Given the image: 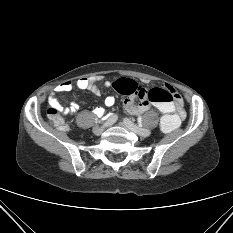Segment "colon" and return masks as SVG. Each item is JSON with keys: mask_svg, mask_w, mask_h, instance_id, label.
<instances>
[{"mask_svg": "<svg viewBox=\"0 0 233 233\" xmlns=\"http://www.w3.org/2000/svg\"><path fill=\"white\" fill-rule=\"evenodd\" d=\"M113 87L120 94L153 103L162 113L160 128L164 133H172L180 126L181 117L174 109V98L171 91L163 87L144 88L131 79H119L113 84ZM48 117L60 130L66 128L59 108H50Z\"/></svg>", "mask_w": 233, "mask_h": 233, "instance_id": "obj_1", "label": "colon"}]
</instances>
